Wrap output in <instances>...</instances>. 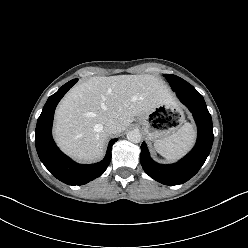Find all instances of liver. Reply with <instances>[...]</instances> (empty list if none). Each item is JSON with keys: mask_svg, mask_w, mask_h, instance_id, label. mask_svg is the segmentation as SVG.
Listing matches in <instances>:
<instances>
[{"mask_svg": "<svg viewBox=\"0 0 248 248\" xmlns=\"http://www.w3.org/2000/svg\"><path fill=\"white\" fill-rule=\"evenodd\" d=\"M174 105L169 88L153 75L94 76L74 86L55 113V139L69 156L94 162L104 154L105 124L114 119L123 132L134 117Z\"/></svg>", "mask_w": 248, "mask_h": 248, "instance_id": "liver-1", "label": "liver"}]
</instances>
